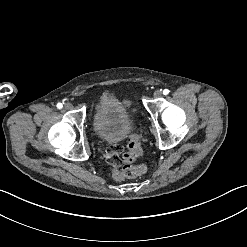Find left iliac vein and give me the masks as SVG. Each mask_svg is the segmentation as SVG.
I'll return each mask as SVG.
<instances>
[{
  "instance_id": "1",
  "label": "left iliac vein",
  "mask_w": 247,
  "mask_h": 247,
  "mask_svg": "<svg viewBox=\"0 0 247 247\" xmlns=\"http://www.w3.org/2000/svg\"><path fill=\"white\" fill-rule=\"evenodd\" d=\"M162 96V92L160 90H156L154 93H153V98L155 99H158Z\"/></svg>"
}]
</instances>
